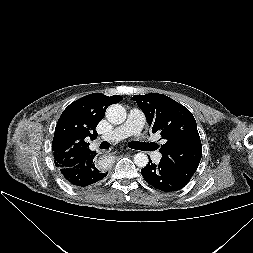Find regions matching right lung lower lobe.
I'll list each match as a JSON object with an SVG mask.
<instances>
[{"mask_svg": "<svg viewBox=\"0 0 253 253\" xmlns=\"http://www.w3.org/2000/svg\"><path fill=\"white\" fill-rule=\"evenodd\" d=\"M64 178L78 187L92 185L107 176V172L100 171L95 164L94 156L73 167L60 169Z\"/></svg>", "mask_w": 253, "mask_h": 253, "instance_id": "right-lung-lower-lobe-1", "label": "right lung lower lobe"}]
</instances>
